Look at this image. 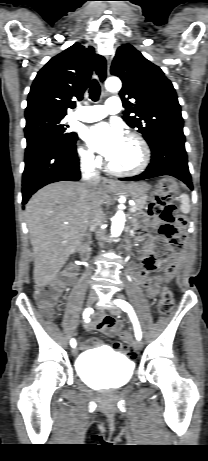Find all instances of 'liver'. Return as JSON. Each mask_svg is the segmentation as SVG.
Returning <instances> with one entry per match:
<instances>
[{"mask_svg":"<svg viewBox=\"0 0 208 461\" xmlns=\"http://www.w3.org/2000/svg\"><path fill=\"white\" fill-rule=\"evenodd\" d=\"M97 187L92 195L84 183L57 182L36 192L26 205V221L34 251V281L49 283L67 262L88 227L92 203L107 200Z\"/></svg>","mask_w":208,"mask_h":461,"instance_id":"liver-1","label":"liver"}]
</instances>
